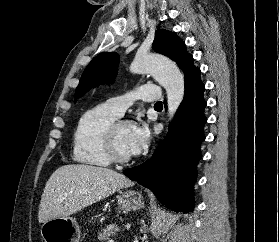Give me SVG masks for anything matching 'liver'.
Instances as JSON below:
<instances>
[{
	"mask_svg": "<svg viewBox=\"0 0 279 242\" xmlns=\"http://www.w3.org/2000/svg\"><path fill=\"white\" fill-rule=\"evenodd\" d=\"M132 185L133 182L125 175L112 169L64 165L50 176L45 185L39 206V222L68 217Z\"/></svg>",
	"mask_w": 279,
	"mask_h": 242,
	"instance_id": "liver-1",
	"label": "liver"
}]
</instances>
